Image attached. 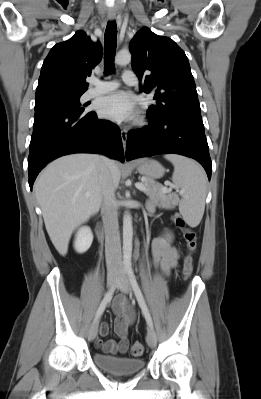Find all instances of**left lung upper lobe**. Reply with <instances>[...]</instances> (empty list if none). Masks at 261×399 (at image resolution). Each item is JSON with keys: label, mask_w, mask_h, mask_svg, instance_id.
<instances>
[{"label": "left lung upper lobe", "mask_w": 261, "mask_h": 399, "mask_svg": "<svg viewBox=\"0 0 261 399\" xmlns=\"http://www.w3.org/2000/svg\"><path fill=\"white\" fill-rule=\"evenodd\" d=\"M129 50L140 81L148 73L143 91H154L155 103L149 113L165 117L184 109L200 110L188 58L172 39L143 28L131 40Z\"/></svg>", "instance_id": "1"}]
</instances>
